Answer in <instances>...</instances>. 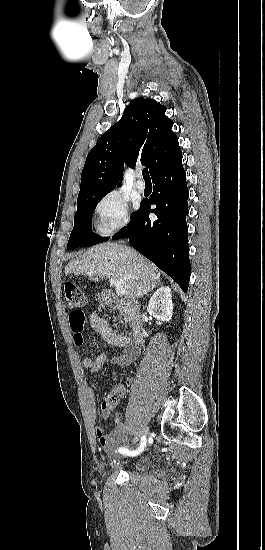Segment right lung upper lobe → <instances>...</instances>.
I'll return each mask as SVG.
<instances>
[{"label":"right lung upper lobe","instance_id":"cb5924a9","mask_svg":"<svg viewBox=\"0 0 265 550\" xmlns=\"http://www.w3.org/2000/svg\"><path fill=\"white\" fill-rule=\"evenodd\" d=\"M166 107L156 100L136 98L122 118L106 131L89 152L81 174L78 198L106 195L120 181L124 164L140 162L150 175L165 165L180 149ZM120 185V184H118Z\"/></svg>","mask_w":265,"mask_h":550}]
</instances>
